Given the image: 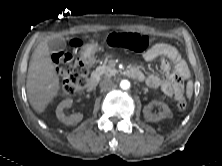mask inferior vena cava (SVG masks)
Listing matches in <instances>:
<instances>
[{"mask_svg": "<svg viewBox=\"0 0 222 166\" xmlns=\"http://www.w3.org/2000/svg\"><path fill=\"white\" fill-rule=\"evenodd\" d=\"M100 88L102 90H111V89L115 88V85L111 79L105 78L100 82Z\"/></svg>", "mask_w": 222, "mask_h": 166, "instance_id": "602c4592", "label": "inferior vena cava"}]
</instances>
